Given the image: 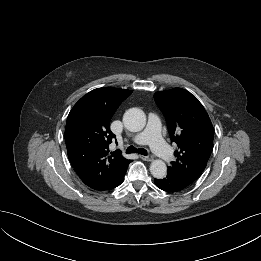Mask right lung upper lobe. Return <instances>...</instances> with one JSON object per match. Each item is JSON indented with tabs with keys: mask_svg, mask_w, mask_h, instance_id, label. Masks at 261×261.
<instances>
[{
	"mask_svg": "<svg viewBox=\"0 0 261 261\" xmlns=\"http://www.w3.org/2000/svg\"><path fill=\"white\" fill-rule=\"evenodd\" d=\"M131 90L102 87L84 95L70 111L65 128L69 160L83 183L104 190L117 183L132 160L120 150L109 152L115 135L110 120Z\"/></svg>",
	"mask_w": 261,
	"mask_h": 261,
	"instance_id": "1",
	"label": "right lung upper lobe"
}]
</instances>
